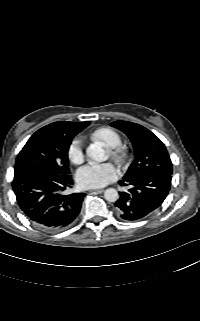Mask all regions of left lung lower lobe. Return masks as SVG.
I'll return each mask as SVG.
<instances>
[{
  "label": "left lung lower lobe",
  "instance_id": "0a47b994",
  "mask_svg": "<svg viewBox=\"0 0 200 321\" xmlns=\"http://www.w3.org/2000/svg\"><path fill=\"white\" fill-rule=\"evenodd\" d=\"M172 175L163 172H150L132 177H123L119 184L130 185L122 192L115 203L118 219L135 221L158 208L169 193Z\"/></svg>",
  "mask_w": 200,
  "mask_h": 321
}]
</instances>
